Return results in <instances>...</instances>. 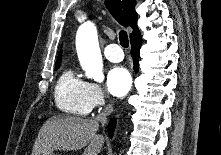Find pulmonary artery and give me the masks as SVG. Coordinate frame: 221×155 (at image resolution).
<instances>
[{"label":"pulmonary artery","instance_id":"pulmonary-artery-1","mask_svg":"<svg viewBox=\"0 0 221 155\" xmlns=\"http://www.w3.org/2000/svg\"><path fill=\"white\" fill-rule=\"evenodd\" d=\"M105 57L111 62H120L123 59V52L116 43L109 44L104 49Z\"/></svg>","mask_w":221,"mask_h":155}]
</instances>
